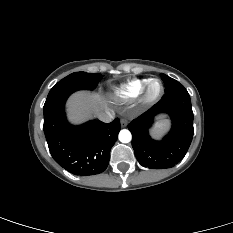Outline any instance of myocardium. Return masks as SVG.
<instances>
[{
    "instance_id": "1",
    "label": "myocardium",
    "mask_w": 233,
    "mask_h": 233,
    "mask_svg": "<svg viewBox=\"0 0 233 233\" xmlns=\"http://www.w3.org/2000/svg\"><path fill=\"white\" fill-rule=\"evenodd\" d=\"M154 84L159 85V90L156 93H151V87ZM164 92V86L159 79H150L142 90V102L144 104H153L157 102Z\"/></svg>"
}]
</instances>
